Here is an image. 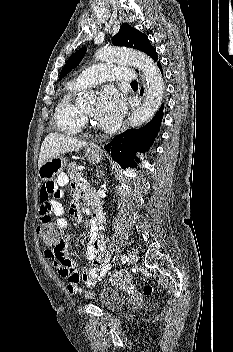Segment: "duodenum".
I'll return each mask as SVG.
<instances>
[{
  "label": "duodenum",
  "instance_id": "410a0bca",
  "mask_svg": "<svg viewBox=\"0 0 233 352\" xmlns=\"http://www.w3.org/2000/svg\"><path fill=\"white\" fill-rule=\"evenodd\" d=\"M90 211L92 217H96L100 214V207L95 199H91L90 201Z\"/></svg>",
  "mask_w": 233,
  "mask_h": 352
}]
</instances>
